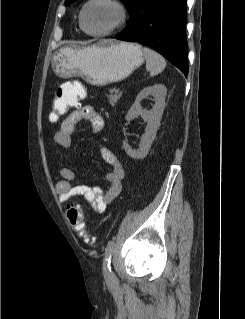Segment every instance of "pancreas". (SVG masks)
<instances>
[{
	"mask_svg": "<svg viewBox=\"0 0 245 319\" xmlns=\"http://www.w3.org/2000/svg\"><path fill=\"white\" fill-rule=\"evenodd\" d=\"M113 92L114 90H110V94L107 95L108 101L111 105H115L121 97V94Z\"/></svg>",
	"mask_w": 245,
	"mask_h": 319,
	"instance_id": "pancreas-1",
	"label": "pancreas"
}]
</instances>
